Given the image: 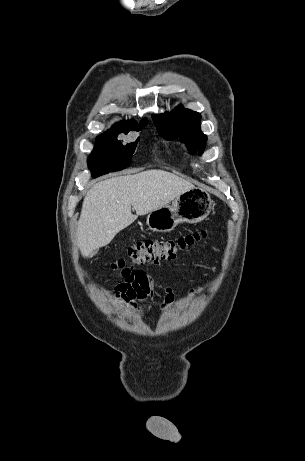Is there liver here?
Here are the masks:
<instances>
[{
  "label": "liver",
  "mask_w": 305,
  "mask_h": 461,
  "mask_svg": "<svg viewBox=\"0 0 305 461\" xmlns=\"http://www.w3.org/2000/svg\"><path fill=\"white\" fill-rule=\"evenodd\" d=\"M194 185L173 173L152 169L113 177L95 184L86 194L77 228L83 257L108 245L138 216L159 209ZM131 206L136 215L131 213Z\"/></svg>",
  "instance_id": "1"
}]
</instances>
